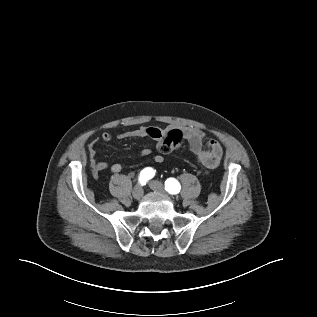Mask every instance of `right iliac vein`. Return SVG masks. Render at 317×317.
<instances>
[{"label":"right iliac vein","mask_w":317,"mask_h":317,"mask_svg":"<svg viewBox=\"0 0 317 317\" xmlns=\"http://www.w3.org/2000/svg\"><path fill=\"white\" fill-rule=\"evenodd\" d=\"M132 193L135 199L137 200L141 199L144 193L142 186L141 185L135 186Z\"/></svg>","instance_id":"obj_1"}]
</instances>
